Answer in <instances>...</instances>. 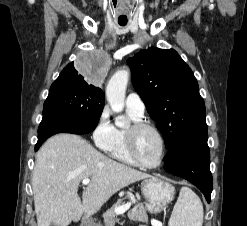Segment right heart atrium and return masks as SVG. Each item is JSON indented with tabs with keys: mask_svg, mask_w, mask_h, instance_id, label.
Wrapping results in <instances>:
<instances>
[{
	"mask_svg": "<svg viewBox=\"0 0 247 226\" xmlns=\"http://www.w3.org/2000/svg\"><path fill=\"white\" fill-rule=\"evenodd\" d=\"M92 136L99 149L105 150L111 144L114 136V126L110 121L108 108L102 109Z\"/></svg>",
	"mask_w": 247,
	"mask_h": 226,
	"instance_id": "obj_1",
	"label": "right heart atrium"
}]
</instances>
